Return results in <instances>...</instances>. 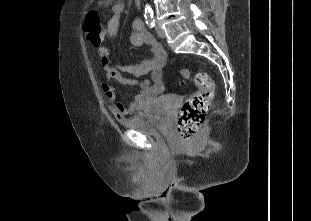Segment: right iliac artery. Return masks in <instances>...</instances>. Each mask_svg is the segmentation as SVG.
Instances as JSON below:
<instances>
[{"label":"right iliac artery","mask_w":311,"mask_h":221,"mask_svg":"<svg viewBox=\"0 0 311 221\" xmlns=\"http://www.w3.org/2000/svg\"><path fill=\"white\" fill-rule=\"evenodd\" d=\"M146 24L148 25L149 28H153L155 26V20L149 19L146 21Z\"/></svg>","instance_id":"1"}]
</instances>
